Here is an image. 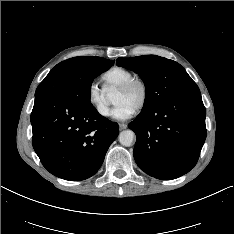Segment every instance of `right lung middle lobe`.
<instances>
[{
    "mask_svg": "<svg viewBox=\"0 0 234 234\" xmlns=\"http://www.w3.org/2000/svg\"><path fill=\"white\" fill-rule=\"evenodd\" d=\"M111 66V63L92 62L84 57H74L62 61L39 84L35 97L46 94H63L82 104L91 105L90 86L93 79Z\"/></svg>",
    "mask_w": 234,
    "mask_h": 234,
    "instance_id": "right-lung-middle-lobe-1",
    "label": "right lung middle lobe"
}]
</instances>
